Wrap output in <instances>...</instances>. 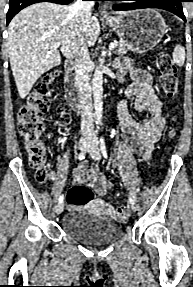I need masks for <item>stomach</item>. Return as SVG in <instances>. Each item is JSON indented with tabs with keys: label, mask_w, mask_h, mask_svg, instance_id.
<instances>
[{
	"label": "stomach",
	"mask_w": 193,
	"mask_h": 287,
	"mask_svg": "<svg viewBox=\"0 0 193 287\" xmlns=\"http://www.w3.org/2000/svg\"><path fill=\"white\" fill-rule=\"evenodd\" d=\"M106 23L130 50L137 53L153 49L161 41L167 27L164 18L153 9L126 12Z\"/></svg>",
	"instance_id": "obj_1"
}]
</instances>
